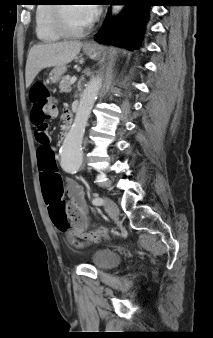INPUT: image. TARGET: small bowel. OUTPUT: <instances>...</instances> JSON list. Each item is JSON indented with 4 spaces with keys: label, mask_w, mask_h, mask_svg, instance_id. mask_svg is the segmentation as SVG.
<instances>
[{
    "label": "small bowel",
    "mask_w": 213,
    "mask_h": 338,
    "mask_svg": "<svg viewBox=\"0 0 213 338\" xmlns=\"http://www.w3.org/2000/svg\"><path fill=\"white\" fill-rule=\"evenodd\" d=\"M69 109H65V115L67 117ZM49 148V146H46ZM38 169L40 183L42 186L44 202L48 207L49 214L51 216L50 209L56 202H61V192L63 190L64 183L61 180L59 168L55 159L52 156L43 157L41 154L38 157ZM67 194L70 198V202L65 204L66 212L72 219V224L65 221L58 228L68 235L71 242H74L77 237L84 234V231L89 225V218L86 212V205L84 202V193L82 187L75 181L69 180L65 183ZM52 218V217H51ZM100 233L94 232L87 236L89 242H95L100 238Z\"/></svg>",
    "instance_id": "small-bowel-1"
}]
</instances>
